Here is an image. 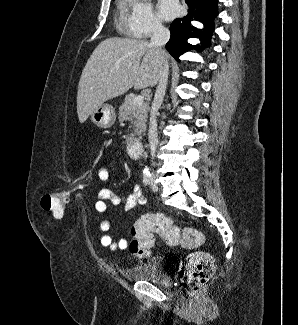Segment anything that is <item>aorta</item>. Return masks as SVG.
<instances>
[{
  "label": "aorta",
  "mask_w": 298,
  "mask_h": 325,
  "mask_svg": "<svg viewBox=\"0 0 298 325\" xmlns=\"http://www.w3.org/2000/svg\"><path fill=\"white\" fill-rule=\"evenodd\" d=\"M143 173H149V167H148V165H145V167L143 169Z\"/></svg>",
  "instance_id": "aorta-1"
}]
</instances>
